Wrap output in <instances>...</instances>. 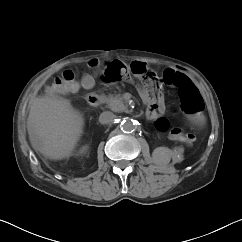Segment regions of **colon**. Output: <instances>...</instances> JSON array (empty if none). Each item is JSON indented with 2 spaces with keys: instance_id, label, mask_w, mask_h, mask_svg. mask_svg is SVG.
<instances>
[{
  "instance_id": "colon-1",
  "label": "colon",
  "mask_w": 242,
  "mask_h": 242,
  "mask_svg": "<svg viewBox=\"0 0 242 242\" xmlns=\"http://www.w3.org/2000/svg\"><path fill=\"white\" fill-rule=\"evenodd\" d=\"M88 68L91 72H96L99 68L98 61H92ZM134 75L143 81L144 87L148 94L159 98L162 94V88L156 78L155 73L149 69L144 63L134 62L122 68L118 61H107L100 77L106 82H117L125 76ZM164 81L166 84L176 87L179 90L181 107L184 112L189 115L198 114L203 108V101L198 89L189 80L187 76L180 72L166 71L164 73ZM82 86L77 74L72 70L64 71L60 76L56 77L47 92L50 94H64L77 91ZM157 129L160 132H169L170 135L181 141V137L185 135L181 128L175 127L170 129L169 122L166 118L160 117L156 121ZM193 140V136L190 139Z\"/></svg>"
}]
</instances>
